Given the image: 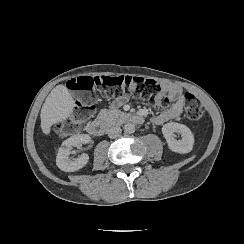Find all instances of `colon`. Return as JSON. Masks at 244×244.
<instances>
[{
  "mask_svg": "<svg viewBox=\"0 0 244 244\" xmlns=\"http://www.w3.org/2000/svg\"><path fill=\"white\" fill-rule=\"evenodd\" d=\"M71 89L81 92L79 102L83 105L74 110L69 121L62 125L64 135H72L79 130L78 122H86L89 119L88 106L94 105L98 100L95 89H101V96L106 99L123 98L130 93L134 98L147 99L156 102L159 106L169 103L167 94L151 78L141 76L120 75L115 77L86 74L70 81ZM185 115L189 120L200 121L203 118V106L199 99L191 93L185 95Z\"/></svg>",
  "mask_w": 244,
  "mask_h": 244,
  "instance_id": "5ec220e1",
  "label": "colon"
}]
</instances>
